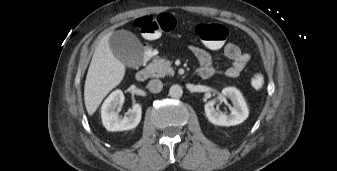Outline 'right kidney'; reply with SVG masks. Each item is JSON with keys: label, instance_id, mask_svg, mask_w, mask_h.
Returning a JSON list of instances; mask_svg holds the SVG:
<instances>
[{"label": "right kidney", "instance_id": "obj_1", "mask_svg": "<svg viewBox=\"0 0 337 171\" xmlns=\"http://www.w3.org/2000/svg\"><path fill=\"white\" fill-rule=\"evenodd\" d=\"M124 103L121 90L113 91L104 101L101 108L102 123L108 131H125L135 128L141 120L142 109L140 104H134L127 117L118 115L119 108Z\"/></svg>", "mask_w": 337, "mask_h": 171}]
</instances>
